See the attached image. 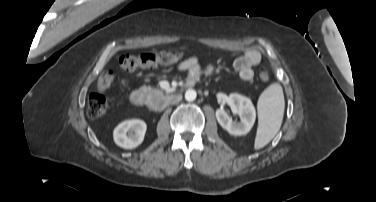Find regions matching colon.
<instances>
[{
  "instance_id": "5ec220e1",
  "label": "colon",
  "mask_w": 376,
  "mask_h": 202,
  "mask_svg": "<svg viewBox=\"0 0 376 202\" xmlns=\"http://www.w3.org/2000/svg\"><path fill=\"white\" fill-rule=\"evenodd\" d=\"M186 51L183 48L164 50L158 53H146L142 55L124 54L119 58V67L123 71L131 72L137 68H153L157 65H170L185 58ZM262 82L270 79V73L266 68H260L258 73ZM113 84V75L111 72L100 74L97 79L98 92L89 95L86 113L90 118H96L105 114L108 110V102L101 94L108 90Z\"/></svg>"
}]
</instances>
